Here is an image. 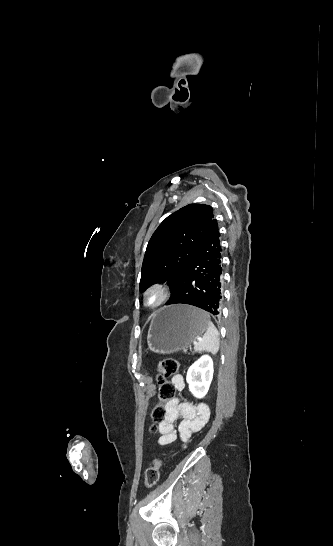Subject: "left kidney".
<instances>
[{
	"label": "left kidney",
	"mask_w": 333,
	"mask_h": 546,
	"mask_svg": "<svg viewBox=\"0 0 333 546\" xmlns=\"http://www.w3.org/2000/svg\"><path fill=\"white\" fill-rule=\"evenodd\" d=\"M213 378V360L208 355H203L194 362L188 369L186 381L189 384V390L197 397H204Z\"/></svg>",
	"instance_id": "1"
}]
</instances>
